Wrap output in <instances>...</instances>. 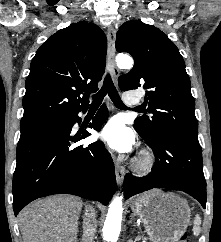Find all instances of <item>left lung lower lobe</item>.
I'll use <instances>...</instances> for the list:
<instances>
[{
	"label": "left lung lower lobe",
	"mask_w": 221,
	"mask_h": 242,
	"mask_svg": "<svg viewBox=\"0 0 221 242\" xmlns=\"http://www.w3.org/2000/svg\"><path fill=\"white\" fill-rule=\"evenodd\" d=\"M142 138L155 154V165L144 177L127 174L124 196L129 198L153 188L181 190L197 199L205 208L206 181L198 134L162 130L153 138Z\"/></svg>",
	"instance_id": "left-lung-lower-lobe-1"
}]
</instances>
